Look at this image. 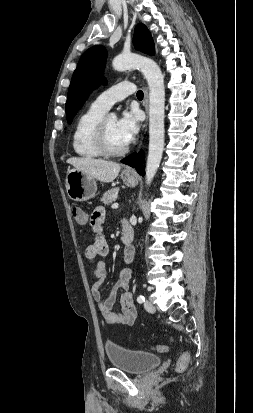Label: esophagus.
Listing matches in <instances>:
<instances>
[{
    "instance_id": "34e87169",
    "label": "esophagus",
    "mask_w": 253,
    "mask_h": 413,
    "mask_svg": "<svg viewBox=\"0 0 253 413\" xmlns=\"http://www.w3.org/2000/svg\"><path fill=\"white\" fill-rule=\"evenodd\" d=\"M144 106H145L146 112H148V92H147V89L145 90ZM146 126H147V121H146L145 127H146ZM124 171L127 172V173H133V172H134V170H133L132 168H130V167H126V168L124 169Z\"/></svg>"
}]
</instances>
